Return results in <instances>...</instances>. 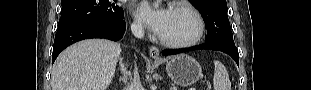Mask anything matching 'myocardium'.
<instances>
[{
    "label": "myocardium",
    "mask_w": 311,
    "mask_h": 90,
    "mask_svg": "<svg viewBox=\"0 0 311 90\" xmlns=\"http://www.w3.org/2000/svg\"><path fill=\"white\" fill-rule=\"evenodd\" d=\"M172 9L182 10L191 15L196 23V31L195 34L187 40H170L159 35L158 38L161 44L171 48H186L197 44L205 31V23L200 13L192 6L184 3L175 4Z\"/></svg>",
    "instance_id": "1"
}]
</instances>
